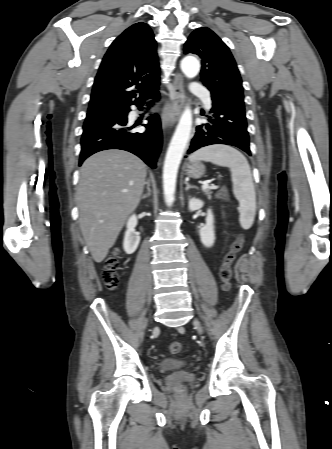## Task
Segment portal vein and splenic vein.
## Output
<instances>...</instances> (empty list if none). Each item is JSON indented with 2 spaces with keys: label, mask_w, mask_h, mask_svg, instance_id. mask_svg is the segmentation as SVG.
Returning <instances> with one entry per match:
<instances>
[{
  "label": "portal vein and splenic vein",
  "mask_w": 332,
  "mask_h": 449,
  "mask_svg": "<svg viewBox=\"0 0 332 449\" xmlns=\"http://www.w3.org/2000/svg\"><path fill=\"white\" fill-rule=\"evenodd\" d=\"M209 188H211V187L209 186L208 183H204V184L202 185V189H203V190H206V189H209ZM214 188H215V187H214ZM125 192H127V191H125Z\"/></svg>",
  "instance_id": "portal-vein-and-splenic-vein-1"
}]
</instances>
